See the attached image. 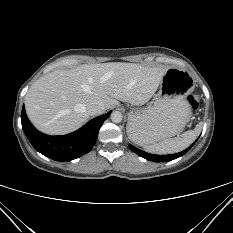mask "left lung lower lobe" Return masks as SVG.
Segmentation results:
<instances>
[{"label":"left lung lower lobe","mask_w":233,"mask_h":233,"mask_svg":"<svg viewBox=\"0 0 233 233\" xmlns=\"http://www.w3.org/2000/svg\"><path fill=\"white\" fill-rule=\"evenodd\" d=\"M194 145V143L189 147L187 148L186 150L182 151V152H179V153H176V154H171V155H153V154H150V153H147V152H144L134 146H132L131 144L129 145V148L135 152L136 154H138L139 156L147 159V160H150V161H153V162H167V161H171V160H174L176 158H179L181 157L182 155H184L185 153H187L191 147Z\"/></svg>","instance_id":"1"}]
</instances>
